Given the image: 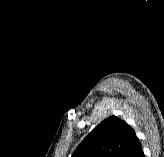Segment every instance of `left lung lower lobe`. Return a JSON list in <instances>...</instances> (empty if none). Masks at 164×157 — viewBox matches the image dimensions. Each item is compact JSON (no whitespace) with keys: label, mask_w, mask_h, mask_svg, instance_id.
Returning <instances> with one entry per match:
<instances>
[{"label":"left lung lower lobe","mask_w":164,"mask_h":157,"mask_svg":"<svg viewBox=\"0 0 164 157\" xmlns=\"http://www.w3.org/2000/svg\"><path fill=\"white\" fill-rule=\"evenodd\" d=\"M125 157H144L142 146L137 137L133 140V142L129 146L125 154Z\"/></svg>","instance_id":"1"}]
</instances>
